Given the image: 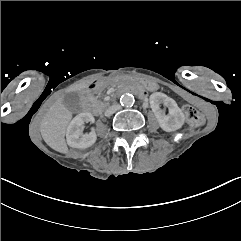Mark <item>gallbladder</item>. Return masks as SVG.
I'll use <instances>...</instances> for the list:
<instances>
[{
	"label": "gallbladder",
	"instance_id": "obj_1",
	"mask_svg": "<svg viewBox=\"0 0 241 241\" xmlns=\"http://www.w3.org/2000/svg\"><path fill=\"white\" fill-rule=\"evenodd\" d=\"M65 109L71 114H78L82 107L83 102L78 93H68L64 96Z\"/></svg>",
	"mask_w": 241,
	"mask_h": 241
}]
</instances>
